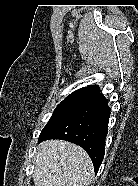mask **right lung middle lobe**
I'll list each match as a JSON object with an SVG mask.
<instances>
[{
	"mask_svg": "<svg viewBox=\"0 0 138 186\" xmlns=\"http://www.w3.org/2000/svg\"><path fill=\"white\" fill-rule=\"evenodd\" d=\"M92 96V91L79 89L66 97L55 109L49 122L41 131L39 138L47 134L67 116L88 103L91 100Z\"/></svg>",
	"mask_w": 138,
	"mask_h": 186,
	"instance_id": "right-lung-middle-lobe-1",
	"label": "right lung middle lobe"
}]
</instances>
